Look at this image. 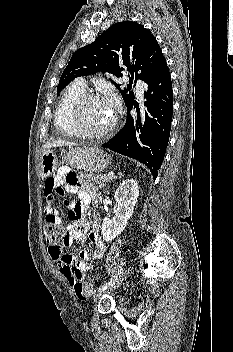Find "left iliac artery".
Instances as JSON below:
<instances>
[{"label": "left iliac artery", "instance_id": "1", "mask_svg": "<svg viewBox=\"0 0 233 352\" xmlns=\"http://www.w3.org/2000/svg\"><path fill=\"white\" fill-rule=\"evenodd\" d=\"M122 273H123V267H120L117 273L107 283L99 287L98 292L102 290H106L109 286L113 285Z\"/></svg>", "mask_w": 233, "mask_h": 352}]
</instances>
